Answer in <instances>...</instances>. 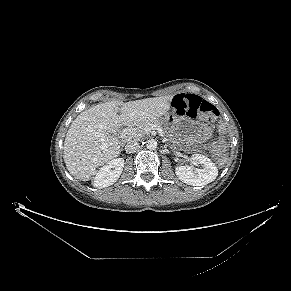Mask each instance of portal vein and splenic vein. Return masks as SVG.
Segmentation results:
<instances>
[{"mask_svg":"<svg viewBox=\"0 0 291 291\" xmlns=\"http://www.w3.org/2000/svg\"><path fill=\"white\" fill-rule=\"evenodd\" d=\"M151 128L154 129V130H157L160 134H163V131H162L161 127H158L156 125H152Z\"/></svg>","mask_w":291,"mask_h":291,"instance_id":"obj_1","label":"portal vein and splenic vein"}]
</instances>
